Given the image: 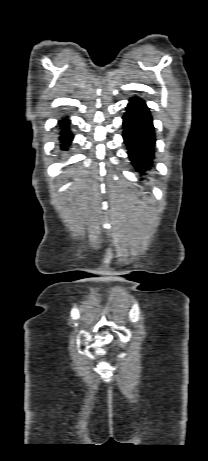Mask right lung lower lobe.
<instances>
[{"label":"right lung lower lobe","instance_id":"1","mask_svg":"<svg viewBox=\"0 0 208 461\" xmlns=\"http://www.w3.org/2000/svg\"><path fill=\"white\" fill-rule=\"evenodd\" d=\"M69 125H70V122L67 119H63L59 121V126L62 130L60 132V137H59L60 147L62 150L68 149V147L71 144L72 138H73V135L70 133V130H69Z\"/></svg>","mask_w":208,"mask_h":461}]
</instances>
